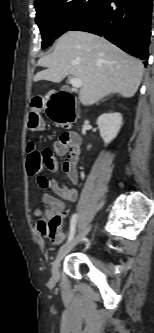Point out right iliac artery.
Returning <instances> with one entry per match:
<instances>
[{
    "label": "right iliac artery",
    "instance_id": "right-iliac-artery-1",
    "mask_svg": "<svg viewBox=\"0 0 154 333\" xmlns=\"http://www.w3.org/2000/svg\"><path fill=\"white\" fill-rule=\"evenodd\" d=\"M76 221H77V214H74L71 218L70 234H69L68 242L74 237L75 229H76Z\"/></svg>",
    "mask_w": 154,
    "mask_h": 333
}]
</instances>
